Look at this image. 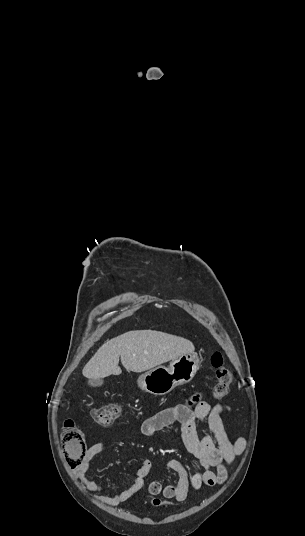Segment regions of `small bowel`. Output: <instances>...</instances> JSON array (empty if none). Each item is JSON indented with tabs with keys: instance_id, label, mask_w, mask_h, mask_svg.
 <instances>
[{
	"instance_id": "c3829d8e",
	"label": "small bowel",
	"mask_w": 305,
	"mask_h": 536,
	"mask_svg": "<svg viewBox=\"0 0 305 536\" xmlns=\"http://www.w3.org/2000/svg\"><path fill=\"white\" fill-rule=\"evenodd\" d=\"M228 409L226 404H211L201 399L199 394L191 397L186 403L165 408L153 416L145 419L141 425V432L147 437L154 436L163 428L179 423L182 427V437L187 450L204 468L202 473L189 476L183 463L178 459H168L165 467L178 476L176 485H164L161 481H153L147 487L151 496L179 495L182 502L186 501L189 489L196 491L202 487H214L223 483L227 477V465L239 455L245 441L239 438L234 443L222 421V413ZM206 424L210 433L202 435L200 428ZM106 449L104 443L91 445L84 453L81 463L76 467L75 473L81 479L83 486L93 493L94 498L102 504L119 506L133 497L144 486L152 461L143 458L140 466L134 473L133 483L123 491H113L87 476L94 457Z\"/></svg>"
}]
</instances>
